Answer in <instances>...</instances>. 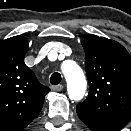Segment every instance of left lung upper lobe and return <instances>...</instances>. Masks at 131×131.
<instances>
[{
    "mask_svg": "<svg viewBox=\"0 0 131 131\" xmlns=\"http://www.w3.org/2000/svg\"><path fill=\"white\" fill-rule=\"evenodd\" d=\"M82 46L90 87L77 114L92 131H119L131 121V57L118 42L96 35Z\"/></svg>",
    "mask_w": 131,
    "mask_h": 131,
    "instance_id": "5c2ea615",
    "label": "left lung upper lobe"
}]
</instances>
